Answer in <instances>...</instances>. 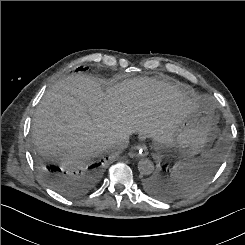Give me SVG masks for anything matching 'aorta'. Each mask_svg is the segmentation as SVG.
<instances>
[{
    "mask_svg": "<svg viewBox=\"0 0 245 245\" xmlns=\"http://www.w3.org/2000/svg\"><path fill=\"white\" fill-rule=\"evenodd\" d=\"M138 171L141 175H150L154 171V164L151 160L144 158L138 162Z\"/></svg>",
    "mask_w": 245,
    "mask_h": 245,
    "instance_id": "762f6f07",
    "label": "aorta"
}]
</instances>
